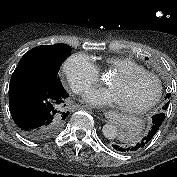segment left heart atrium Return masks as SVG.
Instances as JSON below:
<instances>
[{"mask_svg":"<svg viewBox=\"0 0 177 177\" xmlns=\"http://www.w3.org/2000/svg\"><path fill=\"white\" fill-rule=\"evenodd\" d=\"M85 100L95 106L120 105L118 96L112 88H95L88 91Z\"/></svg>","mask_w":177,"mask_h":177,"instance_id":"obj_1","label":"left heart atrium"}]
</instances>
